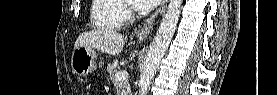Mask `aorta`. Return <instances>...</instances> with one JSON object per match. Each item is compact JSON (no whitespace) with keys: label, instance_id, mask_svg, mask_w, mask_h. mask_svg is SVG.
Segmentation results:
<instances>
[{"label":"aorta","instance_id":"762f6f07","mask_svg":"<svg viewBox=\"0 0 277 95\" xmlns=\"http://www.w3.org/2000/svg\"><path fill=\"white\" fill-rule=\"evenodd\" d=\"M182 0H170L167 11L150 44L139 81V95H147L151 81L169 46L180 17Z\"/></svg>","mask_w":277,"mask_h":95}]
</instances>
